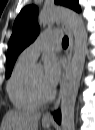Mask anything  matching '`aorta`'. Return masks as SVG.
<instances>
[{
    "instance_id": "aorta-1",
    "label": "aorta",
    "mask_w": 95,
    "mask_h": 130,
    "mask_svg": "<svg viewBox=\"0 0 95 130\" xmlns=\"http://www.w3.org/2000/svg\"><path fill=\"white\" fill-rule=\"evenodd\" d=\"M61 21L66 23L74 36V53L70 67L65 73L61 92V130L75 129V104L84 71L88 49V34L82 18L73 10L52 7L41 11L38 22L41 25Z\"/></svg>"
}]
</instances>
